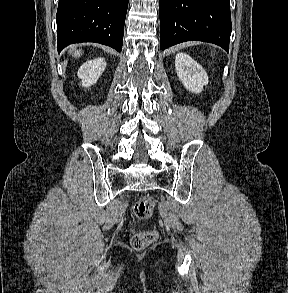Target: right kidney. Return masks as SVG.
<instances>
[{
    "label": "right kidney",
    "instance_id": "obj_1",
    "mask_svg": "<svg viewBox=\"0 0 288 293\" xmlns=\"http://www.w3.org/2000/svg\"><path fill=\"white\" fill-rule=\"evenodd\" d=\"M106 68L104 58H96L85 62L78 70V77L82 81V86L90 87L95 84Z\"/></svg>",
    "mask_w": 288,
    "mask_h": 293
}]
</instances>
